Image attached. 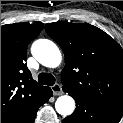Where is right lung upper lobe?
<instances>
[{"label":"right lung upper lobe","instance_id":"1","mask_svg":"<svg viewBox=\"0 0 123 123\" xmlns=\"http://www.w3.org/2000/svg\"><path fill=\"white\" fill-rule=\"evenodd\" d=\"M42 24L1 26V123H16L43 98L48 87L37 86L25 63L28 44Z\"/></svg>","mask_w":123,"mask_h":123}]
</instances>
